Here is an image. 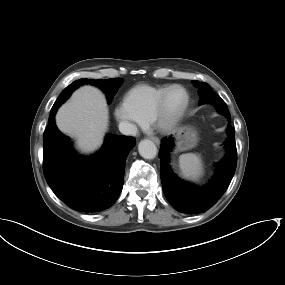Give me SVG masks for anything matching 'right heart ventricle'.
Here are the masks:
<instances>
[{
    "mask_svg": "<svg viewBox=\"0 0 285 285\" xmlns=\"http://www.w3.org/2000/svg\"><path fill=\"white\" fill-rule=\"evenodd\" d=\"M167 88L168 86L138 85L125 94L124 102L138 121L146 124Z\"/></svg>",
    "mask_w": 285,
    "mask_h": 285,
    "instance_id": "obj_1",
    "label": "right heart ventricle"
}]
</instances>
